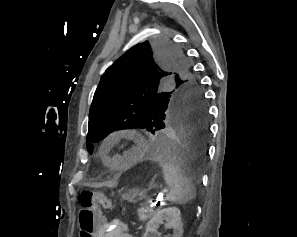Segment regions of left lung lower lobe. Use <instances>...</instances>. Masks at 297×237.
I'll use <instances>...</instances> for the list:
<instances>
[{
	"mask_svg": "<svg viewBox=\"0 0 297 237\" xmlns=\"http://www.w3.org/2000/svg\"><path fill=\"white\" fill-rule=\"evenodd\" d=\"M145 147V155L166 157L188 166H199L209 139L207 107L196 101H176Z\"/></svg>",
	"mask_w": 297,
	"mask_h": 237,
	"instance_id": "1",
	"label": "left lung lower lobe"
}]
</instances>
